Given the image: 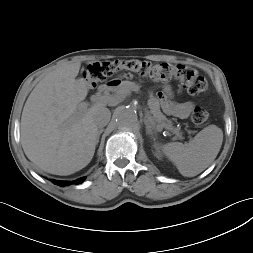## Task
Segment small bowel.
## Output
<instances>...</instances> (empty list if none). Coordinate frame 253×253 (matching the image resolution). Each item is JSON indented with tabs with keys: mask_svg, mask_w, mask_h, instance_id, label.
I'll return each mask as SVG.
<instances>
[{
	"mask_svg": "<svg viewBox=\"0 0 253 253\" xmlns=\"http://www.w3.org/2000/svg\"><path fill=\"white\" fill-rule=\"evenodd\" d=\"M173 92L169 85L162 86V90L158 93V99L162 108L168 114L178 118H187L195 108L193 102L176 103L173 101Z\"/></svg>",
	"mask_w": 253,
	"mask_h": 253,
	"instance_id": "small-bowel-1",
	"label": "small bowel"
}]
</instances>
